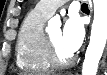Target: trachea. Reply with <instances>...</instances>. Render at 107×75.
<instances>
[{"label": "trachea", "instance_id": "trachea-1", "mask_svg": "<svg viewBox=\"0 0 107 75\" xmlns=\"http://www.w3.org/2000/svg\"><path fill=\"white\" fill-rule=\"evenodd\" d=\"M81 8H82V9H88V5H87L86 3H83V4L81 5Z\"/></svg>", "mask_w": 107, "mask_h": 75}]
</instances>
